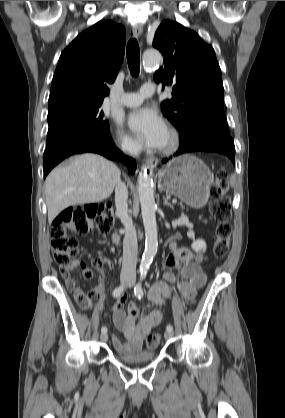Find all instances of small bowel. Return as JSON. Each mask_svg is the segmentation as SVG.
<instances>
[{
  "instance_id": "c3829d8e",
  "label": "small bowel",
  "mask_w": 285,
  "mask_h": 418,
  "mask_svg": "<svg viewBox=\"0 0 285 418\" xmlns=\"http://www.w3.org/2000/svg\"><path fill=\"white\" fill-rule=\"evenodd\" d=\"M109 268H113L107 258H102ZM201 256L194 254L186 248L173 247V253L168 255L164 261L165 272L162 279L155 280L148 289V297L156 309L142 315L137 320L139 310L135 304H130L127 312L123 311V296L113 304L114 322L116 327L124 333L129 343H123L116 335L112 336V343L115 349L121 352L140 350L142 342L149 335L150 331L159 326L165 317L166 299L171 295L170 284L180 282L178 290L186 300H193L199 289L206 283V275L199 266ZM81 265L79 259H74L72 267ZM69 288L73 286L70 273L64 277ZM87 303L78 301L81 308H90V299L102 295L100 285H96L89 292Z\"/></svg>"
}]
</instances>
